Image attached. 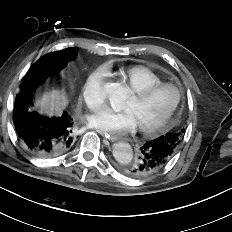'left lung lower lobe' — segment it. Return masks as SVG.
I'll return each instance as SVG.
<instances>
[{"label":"left lung lower lobe","instance_id":"1","mask_svg":"<svg viewBox=\"0 0 232 232\" xmlns=\"http://www.w3.org/2000/svg\"><path fill=\"white\" fill-rule=\"evenodd\" d=\"M173 155L169 146L154 139L140 148L136 162L127 166L128 170L123 171L130 177H146L161 170Z\"/></svg>","mask_w":232,"mask_h":232}]
</instances>
